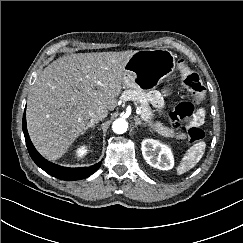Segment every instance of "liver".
<instances>
[{
  "mask_svg": "<svg viewBox=\"0 0 243 243\" xmlns=\"http://www.w3.org/2000/svg\"><path fill=\"white\" fill-rule=\"evenodd\" d=\"M136 51L75 53L41 71L27 102L30 138L45 157L56 160L85 133L89 111H112L124 85L127 61Z\"/></svg>",
  "mask_w": 243,
  "mask_h": 243,
  "instance_id": "1",
  "label": "liver"
}]
</instances>
